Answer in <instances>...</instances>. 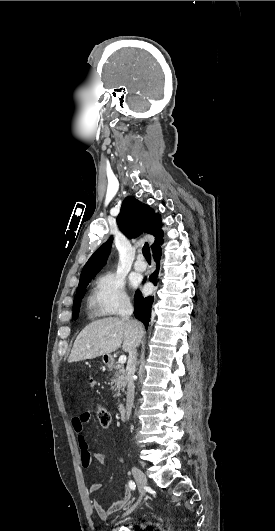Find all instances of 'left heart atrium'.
<instances>
[{
	"label": "left heart atrium",
	"mask_w": 275,
	"mask_h": 531,
	"mask_svg": "<svg viewBox=\"0 0 275 531\" xmlns=\"http://www.w3.org/2000/svg\"><path fill=\"white\" fill-rule=\"evenodd\" d=\"M132 283H133V284H136V283H137V280H136V279H132Z\"/></svg>",
	"instance_id": "39dd6f15"
}]
</instances>
